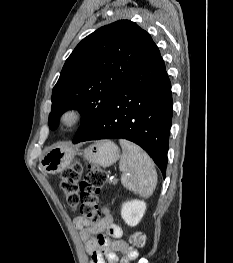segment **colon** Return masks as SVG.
<instances>
[{"mask_svg": "<svg viewBox=\"0 0 233 263\" xmlns=\"http://www.w3.org/2000/svg\"><path fill=\"white\" fill-rule=\"evenodd\" d=\"M106 174L97 166H90L85 171L80 161H75L66 168L60 181L69 206L79 208L80 214L90 223L100 220L98 194L105 185ZM130 243L137 249L145 246L146 238L141 232L130 235Z\"/></svg>", "mask_w": 233, "mask_h": 263, "instance_id": "1", "label": "colon"}]
</instances>
